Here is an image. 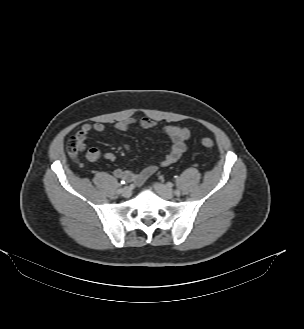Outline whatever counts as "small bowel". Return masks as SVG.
Wrapping results in <instances>:
<instances>
[{
	"instance_id": "1",
	"label": "small bowel",
	"mask_w": 304,
	"mask_h": 329,
	"mask_svg": "<svg viewBox=\"0 0 304 329\" xmlns=\"http://www.w3.org/2000/svg\"><path fill=\"white\" fill-rule=\"evenodd\" d=\"M134 124L139 125L141 128L144 129H152L156 126L155 122L149 118H141V119H134L128 118L121 120L115 124V128L118 131H127L130 129ZM95 131L99 134L105 132V126L102 123H95L93 125L90 124H83L79 130L75 134V138L81 145V149L83 150L85 147V140L88 134L91 131ZM162 131L165 135H167L171 140V147L166 154V156L161 160V164L163 166H168L175 161L182 155L186 148V141L190 137V131L186 128L174 125V124H166L162 127ZM126 149L129 150V147L126 146ZM86 158L90 162H96L102 158L107 160H114L115 156L112 153H102L98 148L92 147L87 150ZM157 170V166L154 164L148 165L141 170L138 171H131L127 169H116L114 174L117 178L134 182L137 184H141L146 181L152 174L155 173Z\"/></svg>"
}]
</instances>
